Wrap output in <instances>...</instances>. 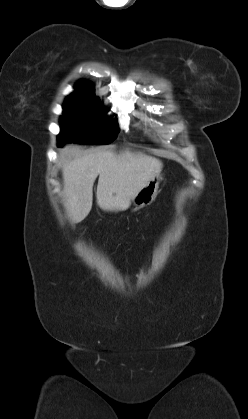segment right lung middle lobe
Returning a JSON list of instances; mask_svg holds the SVG:
<instances>
[{
  "mask_svg": "<svg viewBox=\"0 0 248 419\" xmlns=\"http://www.w3.org/2000/svg\"><path fill=\"white\" fill-rule=\"evenodd\" d=\"M58 145L65 142L109 144L119 132L116 121L105 117L100 102L68 96L60 117Z\"/></svg>",
  "mask_w": 248,
  "mask_h": 419,
  "instance_id": "obj_1",
  "label": "right lung middle lobe"
}]
</instances>
